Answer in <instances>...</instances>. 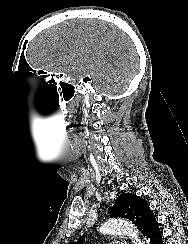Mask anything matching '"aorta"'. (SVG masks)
Returning <instances> with one entry per match:
<instances>
[{"mask_svg":"<svg viewBox=\"0 0 188 244\" xmlns=\"http://www.w3.org/2000/svg\"><path fill=\"white\" fill-rule=\"evenodd\" d=\"M100 232L108 235H127L133 244H143L138 230L130 221L121 218H112L104 222L100 227Z\"/></svg>","mask_w":188,"mask_h":244,"instance_id":"obj_1","label":"aorta"}]
</instances>
